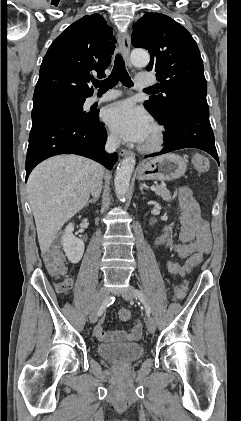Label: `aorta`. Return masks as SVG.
I'll use <instances>...</instances> for the list:
<instances>
[{
    "label": "aorta",
    "mask_w": 241,
    "mask_h": 421,
    "mask_svg": "<svg viewBox=\"0 0 241 421\" xmlns=\"http://www.w3.org/2000/svg\"><path fill=\"white\" fill-rule=\"evenodd\" d=\"M130 58L135 66H146L150 61L149 53L144 49H134L131 52ZM135 163V157L129 156L123 159L117 168L114 185L115 191L120 198H123L129 190L130 179Z\"/></svg>",
    "instance_id": "762f6f07"
}]
</instances>
